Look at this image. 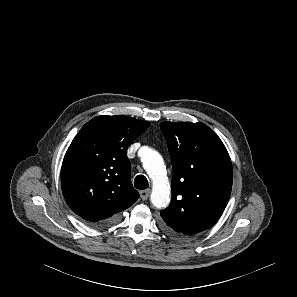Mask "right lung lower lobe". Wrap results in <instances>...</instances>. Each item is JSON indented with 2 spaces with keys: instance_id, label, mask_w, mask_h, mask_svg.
<instances>
[{
  "instance_id": "1",
  "label": "right lung lower lobe",
  "mask_w": 297,
  "mask_h": 297,
  "mask_svg": "<svg viewBox=\"0 0 297 297\" xmlns=\"http://www.w3.org/2000/svg\"><path fill=\"white\" fill-rule=\"evenodd\" d=\"M117 220H118V215L111 217L110 219L95 223L94 225L97 227H107V226H110V225H113L114 223H116Z\"/></svg>"
}]
</instances>
